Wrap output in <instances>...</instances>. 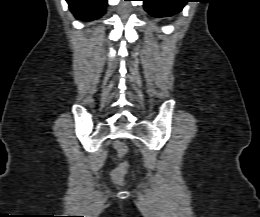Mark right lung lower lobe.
Segmentation results:
<instances>
[{
	"mask_svg": "<svg viewBox=\"0 0 260 217\" xmlns=\"http://www.w3.org/2000/svg\"><path fill=\"white\" fill-rule=\"evenodd\" d=\"M77 19L92 21L105 13L107 0H66Z\"/></svg>",
	"mask_w": 260,
	"mask_h": 217,
	"instance_id": "right-lung-lower-lobe-1",
	"label": "right lung lower lobe"
}]
</instances>
